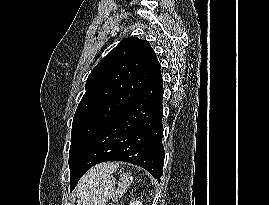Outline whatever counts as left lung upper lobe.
Here are the masks:
<instances>
[{
    "label": "left lung upper lobe",
    "instance_id": "left-lung-upper-lobe-1",
    "mask_svg": "<svg viewBox=\"0 0 269 205\" xmlns=\"http://www.w3.org/2000/svg\"><path fill=\"white\" fill-rule=\"evenodd\" d=\"M161 65L146 40L123 39L92 70L73 119L70 176L101 128L160 75Z\"/></svg>",
    "mask_w": 269,
    "mask_h": 205
}]
</instances>
